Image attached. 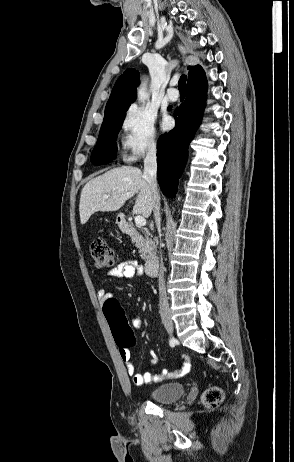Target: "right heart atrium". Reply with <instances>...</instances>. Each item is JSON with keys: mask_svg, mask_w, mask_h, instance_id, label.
<instances>
[{"mask_svg": "<svg viewBox=\"0 0 294 462\" xmlns=\"http://www.w3.org/2000/svg\"><path fill=\"white\" fill-rule=\"evenodd\" d=\"M122 157L126 162H133L153 153L157 149V133L154 118L140 107L129 108L121 123Z\"/></svg>", "mask_w": 294, "mask_h": 462, "instance_id": "d8ad5b80", "label": "right heart atrium"}]
</instances>
